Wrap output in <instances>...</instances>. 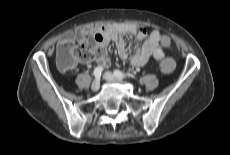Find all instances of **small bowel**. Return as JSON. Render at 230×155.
Returning a JSON list of instances; mask_svg holds the SVG:
<instances>
[{
  "instance_id": "obj_1",
  "label": "small bowel",
  "mask_w": 230,
  "mask_h": 155,
  "mask_svg": "<svg viewBox=\"0 0 230 155\" xmlns=\"http://www.w3.org/2000/svg\"><path fill=\"white\" fill-rule=\"evenodd\" d=\"M127 34L135 35L140 43L131 57V63L136 67L144 66L151 57L156 60H162L165 57V50L171 47L170 38L162 34L159 30L154 29L147 34L143 26L123 23L81 28L76 30L72 35L64 36L60 40V44L77 42L79 44L90 45L91 47H101L103 54L95 58L94 62L99 67L105 68L110 65V59L106 52V47L110 43L116 45L121 58L126 59L128 57V51L123 40V36Z\"/></svg>"
}]
</instances>
